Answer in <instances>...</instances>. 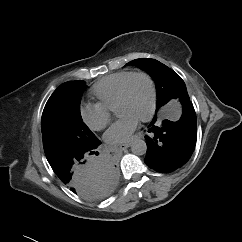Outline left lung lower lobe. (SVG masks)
<instances>
[{
    "label": "left lung lower lobe",
    "instance_id": "obj_1",
    "mask_svg": "<svg viewBox=\"0 0 242 242\" xmlns=\"http://www.w3.org/2000/svg\"><path fill=\"white\" fill-rule=\"evenodd\" d=\"M182 115L173 122L165 119L156 123V115L149 124L151 136H146V165L157 172H173L188 162L196 145V114L188 95L179 97Z\"/></svg>",
    "mask_w": 242,
    "mask_h": 242
}]
</instances>
